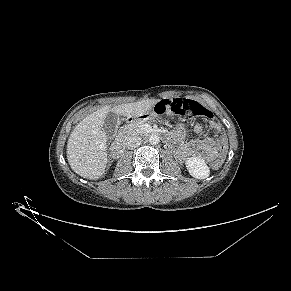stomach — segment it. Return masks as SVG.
<instances>
[{"mask_svg":"<svg viewBox=\"0 0 291 291\" xmlns=\"http://www.w3.org/2000/svg\"><path fill=\"white\" fill-rule=\"evenodd\" d=\"M144 116L149 120H153L156 118V115L154 113H147V114H144Z\"/></svg>","mask_w":291,"mask_h":291,"instance_id":"obj_1","label":"stomach"}]
</instances>
